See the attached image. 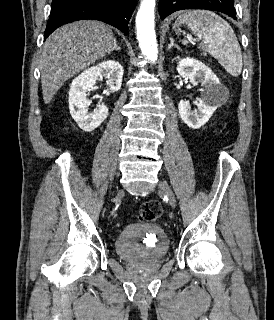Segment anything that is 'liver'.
I'll list each match as a JSON object with an SVG mask.
<instances>
[{
  "label": "liver",
  "instance_id": "liver-1",
  "mask_svg": "<svg viewBox=\"0 0 274 320\" xmlns=\"http://www.w3.org/2000/svg\"><path fill=\"white\" fill-rule=\"evenodd\" d=\"M116 40L110 26L96 20H80L55 30L47 38L39 64L45 104L66 80L102 60Z\"/></svg>",
  "mask_w": 274,
  "mask_h": 320
}]
</instances>
